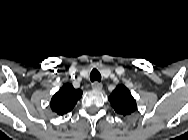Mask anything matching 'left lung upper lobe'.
<instances>
[{
    "label": "left lung upper lobe",
    "mask_w": 188,
    "mask_h": 140,
    "mask_svg": "<svg viewBox=\"0 0 188 140\" xmlns=\"http://www.w3.org/2000/svg\"><path fill=\"white\" fill-rule=\"evenodd\" d=\"M108 100L114 111L122 116H128L137 109L135 99L124 85L117 86Z\"/></svg>",
    "instance_id": "left-lung-upper-lobe-1"
}]
</instances>
